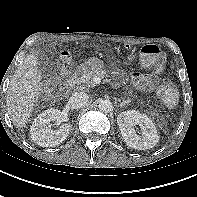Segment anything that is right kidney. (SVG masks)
Returning <instances> with one entry per match:
<instances>
[{
	"label": "right kidney",
	"mask_w": 197,
	"mask_h": 197,
	"mask_svg": "<svg viewBox=\"0 0 197 197\" xmlns=\"http://www.w3.org/2000/svg\"><path fill=\"white\" fill-rule=\"evenodd\" d=\"M63 121L64 118L59 109L50 108L43 111L32 123L30 129L32 141L42 147H54L59 145L69 135L71 125L65 123L58 129L51 130L50 122H55L59 125Z\"/></svg>",
	"instance_id": "obj_1"
}]
</instances>
